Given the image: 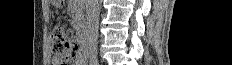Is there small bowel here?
Segmentation results:
<instances>
[{
    "label": "small bowel",
    "instance_id": "c3829d8e",
    "mask_svg": "<svg viewBox=\"0 0 232 65\" xmlns=\"http://www.w3.org/2000/svg\"><path fill=\"white\" fill-rule=\"evenodd\" d=\"M86 60H87V52H84L83 50L80 49L76 55V59H75L74 64L75 65H85Z\"/></svg>",
    "mask_w": 232,
    "mask_h": 65
}]
</instances>
